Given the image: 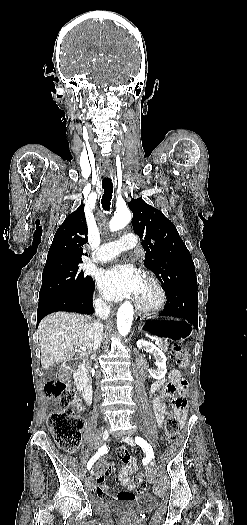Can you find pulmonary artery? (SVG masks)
Returning a JSON list of instances; mask_svg holds the SVG:
<instances>
[{
  "mask_svg": "<svg viewBox=\"0 0 247 525\" xmlns=\"http://www.w3.org/2000/svg\"><path fill=\"white\" fill-rule=\"evenodd\" d=\"M139 237L135 236V233L128 232L123 234L118 240L106 243L100 248L91 249L89 254L94 256V260L97 263L104 262L110 264L113 262L115 257L120 255V251L133 249L139 244Z\"/></svg>",
  "mask_w": 247,
  "mask_h": 525,
  "instance_id": "pulmonary-artery-1",
  "label": "pulmonary artery"
}]
</instances>
